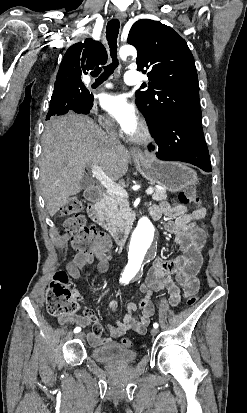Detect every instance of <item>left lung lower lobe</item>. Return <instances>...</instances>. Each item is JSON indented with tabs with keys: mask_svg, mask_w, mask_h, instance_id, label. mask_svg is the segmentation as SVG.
I'll return each instance as SVG.
<instances>
[{
	"mask_svg": "<svg viewBox=\"0 0 247 413\" xmlns=\"http://www.w3.org/2000/svg\"><path fill=\"white\" fill-rule=\"evenodd\" d=\"M151 130L160 160L191 163L211 172V163L201 121L187 117H171ZM153 148L149 146V150Z\"/></svg>",
	"mask_w": 247,
	"mask_h": 413,
	"instance_id": "0a47b994",
	"label": "left lung lower lobe"
}]
</instances>
